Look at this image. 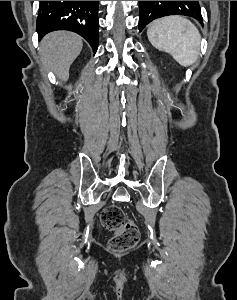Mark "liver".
<instances>
[{
	"label": "liver",
	"mask_w": 237,
	"mask_h": 300,
	"mask_svg": "<svg viewBox=\"0 0 237 300\" xmlns=\"http://www.w3.org/2000/svg\"><path fill=\"white\" fill-rule=\"evenodd\" d=\"M82 37L69 31H55L42 39L39 47L40 59L61 81H68L70 65L82 51Z\"/></svg>",
	"instance_id": "1"
}]
</instances>
